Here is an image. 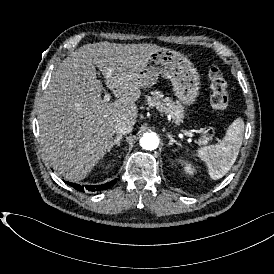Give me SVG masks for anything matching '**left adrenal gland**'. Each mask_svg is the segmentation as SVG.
I'll return each mask as SVG.
<instances>
[{"label":"left adrenal gland","mask_w":274,"mask_h":274,"mask_svg":"<svg viewBox=\"0 0 274 274\" xmlns=\"http://www.w3.org/2000/svg\"><path fill=\"white\" fill-rule=\"evenodd\" d=\"M168 138L170 139L168 145L176 144L178 146H181V143L177 142L171 134H168Z\"/></svg>","instance_id":"obj_1"}]
</instances>
